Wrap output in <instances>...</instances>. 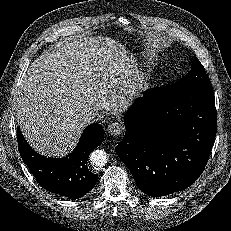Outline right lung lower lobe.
<instances>
[{
    "instance_id": "1",
    "label": "right lung lower lobe",
    "mask_w": 231,
    "mask_h": 231,
    "mask_svg": "<svg viewBox=\"0 0 231 231\" xmlns=\"http://www.w3.org/2000/svg\"><path fill=\"white\" fill-rule=\"evenodd\" d=\"M103 138L102 126L91 124L83 131L72 153L64 158H46L29 146L19 128L17 131L22 160L39 184L50 192L72 199L81 198L96 184L98 175L88 169L87 160Z\"/></svg>"
}]
</instances>
